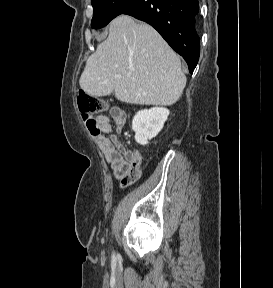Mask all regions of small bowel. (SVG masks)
Masks as SVG:
<instances>
[{
  "label": "small bowel",
  "mask_w": 273,
  "mask_h": 288,
  "mask_svg": "<svg viewBox=\"0 0 273 288\" xmlns=\"http://www.w3.org/2000/svg\"><path fill=\"white\" fill-rule=\"evenodd\" d=\"M109 115L97 117L100 133L95 135V140L110 164L115 178L120 181L122 187H128L141 176L142 156L138 150H128L118 138L126 123L124 110L111 107ZM112 121L115 133H112ZM106 134L110 135L106 137Z\"/></svg>",
  "instance_id": "small-bowel-1"
}]
</instances>
